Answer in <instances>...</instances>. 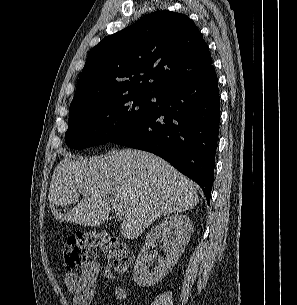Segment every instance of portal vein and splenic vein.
<instances>
[{
    "instance_id": "1",
    "label": "portal vein and splenic vein",
    "mask_w": 297,
    "mask_h": 305,
    "mask_svg": "<svg viewBox=\"0 0 297 305\" xmlns=\"http://www.w3.org/2000/svg\"><path fill=\"white\" fill-rule=\"evenodd\" d=\"M113 207H114L116 216H118V217L124 216L125 211H124V206L122 204H117V205H114Z\"/></svg>"
}]
</instances>
